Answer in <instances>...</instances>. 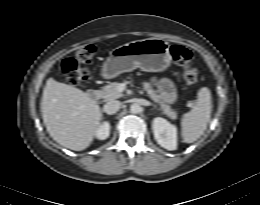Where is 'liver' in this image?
<instances>
[{"label": "liver", "mask_w": 260, "mask_h": 205, "mask_svg": "<svg viewBox=\"0 0 260 205\" xmlns=\"http://www.w3.org/2000/svg\"><path fill=\"white\" fill-rule=\"evenodd\" d=\"M40 108L49 135L74 151L91 144L102 119L99 105L88 93L53 78L46 81Z\"/></svg>", "instance_id": "obj_1"}]
</instances>
